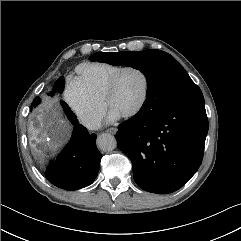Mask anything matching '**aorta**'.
Masks as SVG:
<instances>
[{"label":"aorta","mask_w":241,"mask_h":241,"mask_svg":"<svg viewBox=\"0 0 241 241\" xmlns=\"http://www.w3.org/2000/svg\"><path fill=\"white\" fill-rule=\"evenodd\" d=\"M97 145L103 151H112L116 148L117 141L113 135L103 133L98 137Z\"/></svg>","instance_id":"aorta-1"}]
</instances>
